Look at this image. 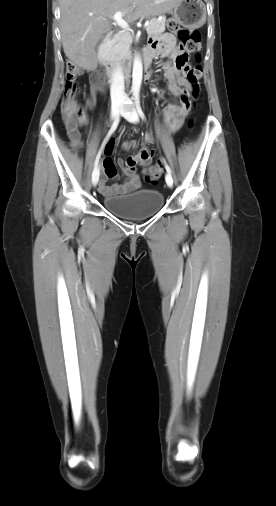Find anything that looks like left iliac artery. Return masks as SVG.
I'll return each instance as SVG.
<instances>
[{"mask_svg": "<svg viewBox=\"0 0 276 506\" xmlns=\"http://www.w3.org/2000/svg\"><path fill=\"white\" fill-rule=\"evenodd\" d=\"M135 103H136V108H137V112L139 114V116L144 120L145 119V115L141 109V106H140V100H139V94H136L135 95ZM165 168L167 170V172L169 174H171V169L170 167L168 166V164L165 162Z\"/></svg>", "mask_w": 276, "mask_h": 506, "instance_id": "left-iliac-artery-1", "label": "left iliac artery"}]
</instances>
